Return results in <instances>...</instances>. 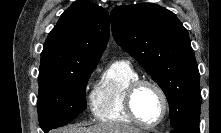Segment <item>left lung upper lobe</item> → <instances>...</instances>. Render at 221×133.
Listing matches in <instances>:
<instances>
[{
	"instance_id": "1",
	"label": "left lung upper lobe",
	"mask_w": 221,
	"mask_h": 133,
	"mask_svg": "<svg viewBox=\"0 0 221 133\" xmlns=\"http://www.w3.org/2000/svg\"><path fill=\"white\" fill-rule=\"evenodd\" d=\"M113 36L158 83L169 102L171 126L198 123L199 71L188 32L176 15L152 3L115 7Z\"/></svg>"
}]
</instances>
